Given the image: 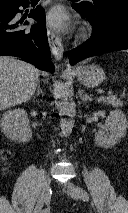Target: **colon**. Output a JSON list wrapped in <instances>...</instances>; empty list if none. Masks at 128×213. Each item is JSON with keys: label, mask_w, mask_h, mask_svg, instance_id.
Here are the masks:
<instances>
[{"label": "colon", "mask_w": 128, "mask_h": 213, "mask_svg": "<svg viewBox=\"0 0 128 213\" xmlns=\"http://www.w3.org/2000/svg\"><path fill=\"white\" fill-rule=\"evenodd\" d=\"M10 157V152L8 150H0V159L3 161L7 160Z\"/></svg>", "instance_id": "1"}]
</instances>
